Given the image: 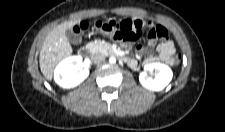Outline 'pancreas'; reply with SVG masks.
<instances>
[{"label":"pancreas","mask_w":225,"mask_h":132,"mask_svg":"<svg viewBox=\"0 0 225 132\" xmlns=\"http://www.w3.org/2000/svg\"><path fill=\"white\" fill-rule=\"evenodd\" d=\"M92 49L94 51L101 52L104 55H111V54H113V50H112L111 44L105 43V42L96 41V42L92 43Z\"/></svg>","instance_id":"1"}]
</instances>
